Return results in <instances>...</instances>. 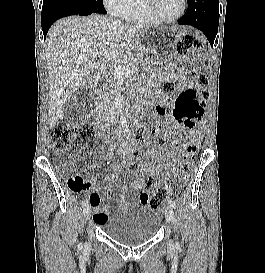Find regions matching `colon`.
<instances>
[{"label": "colon", "mask_w": 265, "mask_h": 273, "mask_svg": "<svg viewBox=\"0 0 265 273\" xmlns=\"http://www.w3.org/2000/svg\"><path fill=\"white\" fill-rule=\"evenodd\" d=\"M202 46L194 34L188 33L184 35L176 45V52L180 55H192L196 58L201 52ZM190 76L195 80L196 84L200 87L199 90H187L182 92L174 105L173 115L176 121L185 127L184 140L187 152L183 162L180 165V172L184 179L188 178L192 166L194 155L201 148V136H199L198 128H194L196 121L199 120L206 112L208 102V91L206 85L208 83L207 76L204 73L192 69L189 72ZM164 91L173 94L176 91V85L173 81L168 80L164 83ZM164 109H151L141 119L137 132L136 142L142 144L145 139V134L153 127L159 126V116L164 112ZM97 136V126L92 121H83L81 123H66L61 122L54 126L51 133V142L60 156H66L77 144L94 140ZM159 146L164 145V140L159 138L157 141ZM140 163L133 162L130 165L131 171L140 170ZM68 187L72 192H80L84 189L85 183L80 176H74L68 179ZM144 189L154 190L155 196L150 203L154 206L159 205L168 196V189L164 186L158 185L156 180L152 177L144 179Z\"/></svg>", "instance_id": "5ec220e1"}]
</instances>
